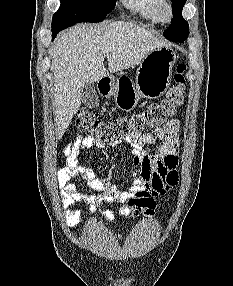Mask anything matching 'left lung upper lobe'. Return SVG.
I'll use <instances>...</instances> for the list:
<instances>
[{
	"label": "left lung upper lobe",
	"instance_id": "obj_1",
	"mask_svg": "<svg viewBox=\"0 0 233 286\" xmlns=\"http://www.w3.org/2000/svg\"><path fill=\"white\" fill-rule=\"evenodd\" d=\"M173 21L164 31V36L173 42H183L189 35L188 23L182 17V9L186 0H171Z\"/></svg>",
	"mask_w": 233,
	"mask_h": 286
}]
</instances>
